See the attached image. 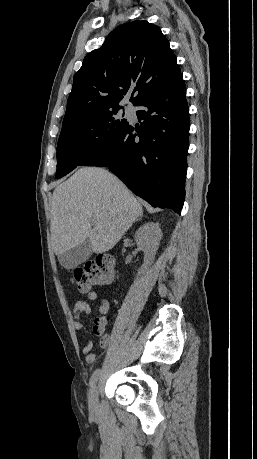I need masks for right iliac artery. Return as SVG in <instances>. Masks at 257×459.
I'll use <instances>...</instances> for the list:
<instances>
[{
  "label": "right iliac artery",
  "instance_id": "82829eb1",
  "mask_svg": "<svg viewBox=\"0 0 257 459\" xmlns=\"http://www.w3.org/2000/svg\"><path fill=\"white\" fill-rule=\"evenodd\" d=\"M99 374H100V369L95 370L94 373L92 374L91 379H90L91 387L96 384Z\"/></svg>",
  "mask_w": 257,
  "mask_h": 459
}]
</instances>
